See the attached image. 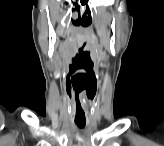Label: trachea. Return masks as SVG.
I'll return each instance as SVG.
<instances>
[{
	"label": "trachea",
	"mask_w": 164,
	"mask_h": 146,
	"mask_svg": "<svg viewBox=\"0 0 164 146\" xmlns=\"http://www.w3.org/2000/svg\"><path fill=\"white\" fill-rule=\"evenodd\" d=\"M76 125L79 127V128H84L85 127V121L82 122V121H75Z\"/></svg>",
	"instance_id": "obj_1"
}]
</instances>
